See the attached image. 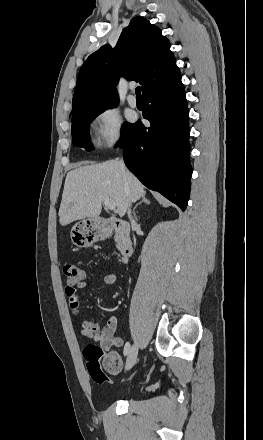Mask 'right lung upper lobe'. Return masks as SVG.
Masks as SVG:
<instances>
[{
    "label": "right lung upper lobe",
    "instance_id": "cb5924a9",
    "mask_svg": "<svg viewBox=\"0 0 263 440\" xmlns=\"http://www.w3.org/2000/svg\"><path fill=\"white\" fill-rule=\"evenodd\" d=\"M179 69L161 30L142 17L126 27L114 49L104 45L91 54L79 71L72 118L116 105L120 76L142 85V93Z\"/></svg>",
    "mask_w": 263,
    "mask_h": 440
}]
</instances>
